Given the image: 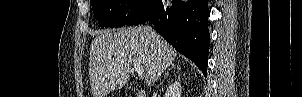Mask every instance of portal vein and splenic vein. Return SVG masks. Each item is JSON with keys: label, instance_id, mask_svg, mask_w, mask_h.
I'll return each mask as SVG.
<instances>
[{"label": "portal vein and splenic vein", "instance_id": "obj_1", "mask_svg": "<svg viewBox=\"0 0 302 97\" xmlns=\"http://www.w3.org/2000/svg\"><path fill=\"white\" fill-rule=\"evenodd\" d=\"M133 67L135 72L139 75L142 76L144 74V68L142 65H140L139 63L134 62L133 63Z\"/></svg>", "mask_w": 302, "mask_h": 97}]
</instances>
